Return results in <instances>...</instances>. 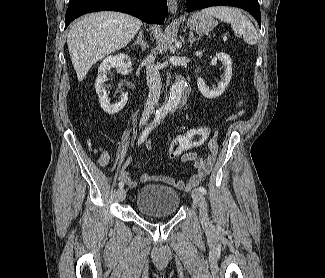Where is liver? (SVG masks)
I'll list each match as a JSON object with an SVG mask.
<instances>
[{
	"label": "liver",
	"instance_id": "1",
	"mask_svg": "<svg viewBox=\"0 0 325 278\" xmlns=\"http://www.w3.org/2000/svg\"><path fill=\"white\" fill-rule=\"evenodd\" d=\"M141 25L140 19L113 11L75 21L67 34V44L78 80L81 82L97 61L125 47Z\"/></svg>",
	"mask_w": 325,
	"mask_h": 278
}]
</instances>
